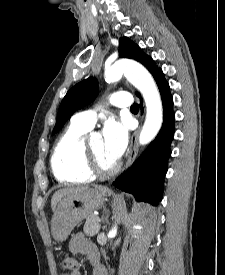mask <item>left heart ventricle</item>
<instances>
[{"instance_id":"1","label":"left heart ventricle","mask_w":225,"mask_h":275,"mask_svg":"<svg viewBox=\"0 0 225 275\" xmlns=\"http://www.w3.org/2000/svg\"><path fill=\"white\" fill-rule=\"evenodd\" d=\"M90 150L95 154L100 165L104 168L113 166L116 162L111 160L105 153L104 143L102 138L92 140L88 144Z\"/></svg>"}]
</instances>
